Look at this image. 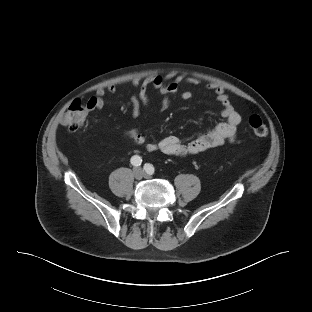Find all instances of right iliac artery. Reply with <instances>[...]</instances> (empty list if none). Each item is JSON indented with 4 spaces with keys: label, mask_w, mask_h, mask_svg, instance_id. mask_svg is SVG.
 I'll list each match as a JSON object with an SVG mask.
<instances>
[{
    "label": "right iliac artery",
    "mask_w": 312,
    "mask_h": 312,
    "mask_svg": "<svg viewBox=\"0 0 312 312\" xmlns=\"http://www.w3.org/2000/svg\"><path fill=\"white\" fill-rule=\"evenodd\" d=\"M130 161H131V164L134 166H140L142 164V159L138 155H134Z\"/></svg>",
    "instance_id": "82829eb1"
}]
</instances>
